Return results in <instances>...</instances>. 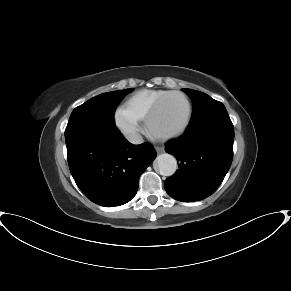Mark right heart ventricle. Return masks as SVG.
Returning a JSON list of instances; mask_svg holds the SVG:
<instances>
[{"label":"right heart ventricle","instance_id":"e07e8e85","mask_svg":"<svg viewBox=\"0 0 291 291\" xmlns=\"http://www.w3.org/2000/svg\"><path fill=\"white\" fill-rule=\"evenodd\" d=\"M168 92V90L161 89H146L138 91L126 99L124 107L136 115L139 120H143L146 118V115L156 101Z\"/></svg>","mask_w":291,"mask_h":291}]
</instances>
